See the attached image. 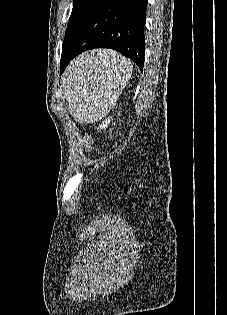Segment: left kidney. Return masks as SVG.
I'll use <instances>...</instances> for the list:
<instances>
[{
	"instance_id": "5707ae66",
	"label": "left kidney",
	"mask_w": 227,
	"mask_h": 315,
	"mask_svg": "<svg viewBox=\"0 0 227 315\" xmlns=\"http://www.w3.org/2000/svg\"><path fill=\"white\" fill-rule=\"evenodd\" d=\"M111 122V117L106 119L105 121L102 122V124L99 125L100 129H105L107 127V125H109Z\"/></svg>"
}]
</instances>
